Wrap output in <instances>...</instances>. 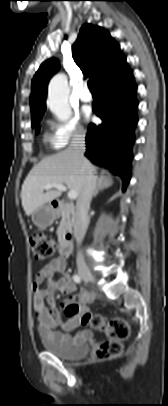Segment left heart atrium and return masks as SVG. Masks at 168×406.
Listing matches in <instances>:
<instances>
[{
    "label": "left heart atrium",
    "mask_w": 168,
    "mask_h": 406,
    "mask_svg": "<svg viewBox=\"0 0 168 406\" xmlns=\"http://www.w3.org/2000/svg\"><path fill=\"white\" fill-rule=\"evenodd\" d=\"M84 115H85L86 118H89V116H90V111H89V109H85V110H84Z\"/></svg>",
    "instance_id": "39dd6f15"
}]
</instances>
